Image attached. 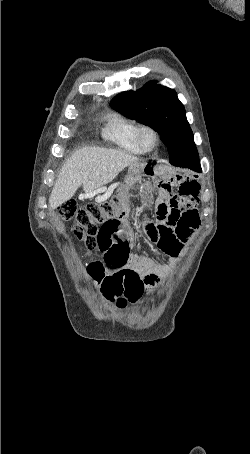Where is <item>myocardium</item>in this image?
Here are the masks:
<instances>
[{
  "mask_svg": "<svg viewBox=\"0 0 250 454\" xmlns=\"http://www.w3.org/2000/svg\"><path fill=\"white\" fill-rule=\"evenodd\" d=\"M145 133H150L153 137V144L151 146H147L144 142ZM136 137H137L138 144L145 152H151L154 149H156L159 144V141H160V136H159L158 131L149 124L139 125Z\"/></svg>",
  "mask_w": 250,
  "mask_h": 454,
  "instance_id": "obj_1",
  "label": "myocardium"
}]
</instances>
